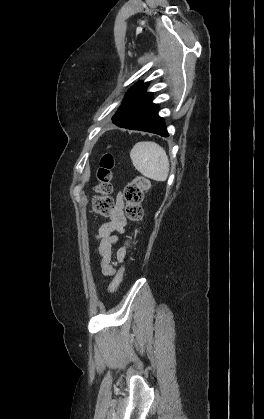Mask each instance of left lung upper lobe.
<instances>
[{"instance_id":"obj_1","label":"left lung upper lobe","mask_w":264,"mask_h":419,"mask_svg":"<svg viewBox=\"0 0 264 419\" xmlns=\"http://www.w3.org/2000/svg\"><path fill=\"white\" fill-rule=\"evenodd\" d=\"M148 85V82L143 83V82H137L133 87H131L122 104L121 107L119 108V110L116 112V114L113 116V119L121 116L123 114V111L125 110L126 106L128 103H130L131 101L135 100L136 98H138L140 95H142L146 89Z\"/></svg>"}]
</instances>
